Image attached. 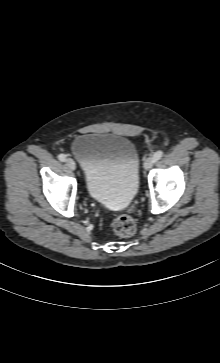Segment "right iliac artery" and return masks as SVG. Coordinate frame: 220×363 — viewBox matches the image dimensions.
Instances as JSON below:
<instances>
[{
  "label": "right iliac artery",
  "mask_w": 220,
  "mask_h": 363,
  "mask_svg": "<svg viewBox=\"0 0 220 363\" xmlns=\"http://www.w3.org/2000/svg\"><path fill=\"white\" fill-rule=\"evenodd\" d=\"M58 159L61 161V162H64L66 160V156L64 154H60L58 155Z\"/></svg>",
  "instance_id": "right-iliac-artery-1"
}]
</instances>
